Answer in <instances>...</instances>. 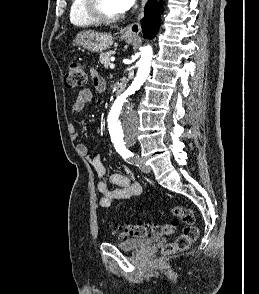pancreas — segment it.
<instances>
[{
    "label": "pancreas",
    "instance_id": "1",
    "mask_svg": "<svg viewBox=\"0 0 259 294\" xmlns=\"http://www.w3.org/2000/svg\"><path fill=\"white\" fill-rule=\"evenodd\" d=\"M114 54L113 51H108L106 53H101L99 56V62L105 67L108 68L110 64V58Z\"/></svg>",
    "mask_w": 259,
    "mask_h": 294
}]
</instances>
